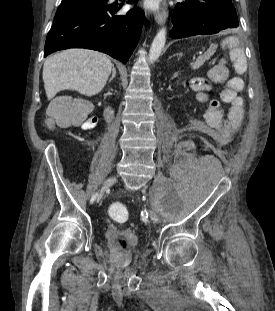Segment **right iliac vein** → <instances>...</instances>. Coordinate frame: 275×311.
<instances>
[{"instance_id":"right-iliac-vein-1","label":"right iliac vein","mask_w":275,"mask_h":311,"mask_svg":"<svg viewBox=\"0 0 275 311\" xmlns=\"http://www.w3.org/2000/svg\"><path fill=\"white\" fill-rule=\"evenodd\" d=\"M117 181V177L116 176H110L109 178H107L99 192V194L97 195V201H99L103 194L105 193V191L111 187L115 182Z\"/></svg>"}]
</instances>
